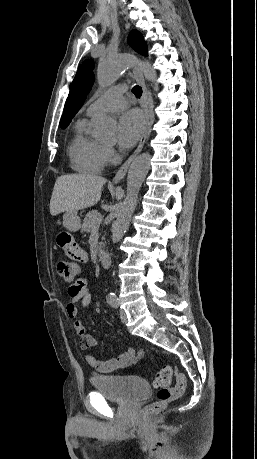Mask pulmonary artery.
I'll return each instance as SVG.
<instances>
[{"instance_id": "e3ab8cb5", "label": "pulmonary artery", "mask_w": 257, "mask_h": 459, "mask_svg": "<svg viewBox=\"0 0 257 459\" xmlns=\"http://www.w3.org/2000/svg\"><path fill=\"white\" fill-rule=\"evenodd\" d=\"M124 85H115L102 93L87 108L88 116H93L104 112H113L123 109L126 106Z\"/></svg>"}]
</instances>
